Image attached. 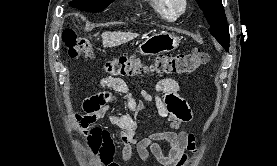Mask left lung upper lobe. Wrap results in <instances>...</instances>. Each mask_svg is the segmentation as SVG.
Listing matches in <instances>:
<instances>
[{"instance_id":"left-lung-upper-lobe-1","label":"left lung upper lobe","mask_w":277,"mask_h":166,"mask_svg":"<svg viewBox=\"0 0 277 166\" xmlns=\"http://www.w3.org/2000/svg\"><path fill=\"white\" fill-rule=\"evenodd\" d=\"M210 24V33L229 50V27L221 0H196Z\"/></svg>"}]
</instances>
